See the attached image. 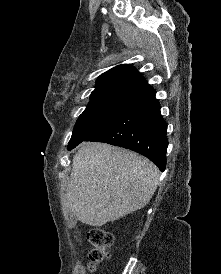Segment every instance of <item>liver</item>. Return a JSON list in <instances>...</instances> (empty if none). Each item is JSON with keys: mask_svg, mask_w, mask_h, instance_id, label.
<instances>
[{"mask_svg": "<svg viewBox=\"0 0 221 274\" xmlns=\"http://www.w3.org/2000/svg\"><path fill=\"white\" fill-rule=\"evenodd\" d=\"M160 171L151 161L105 143H83L73 157L61 203L91 226L113 222L146 206Z\"/></svg>", "mask_w": 221, "mask_h": 274, "instance_id": "obj_1", "label": "liver"}]
</instances>
